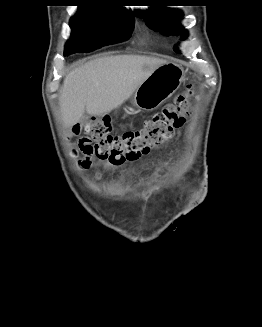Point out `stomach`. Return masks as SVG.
Masks as SVG:
<instances>
[{"label": "stomach", "mask_w": 262, "mask_h": 327, "mask_svg": "<svg viewBox=\"0 0 262 327\" xmlns=\"http://www.w3.org/2000/svg\"><path fill=\"white\" fill-rule=\"evenodd\" d=\"M183 79L184 70L180 65L162 64L135 90L132 104L138 109L152 111L175 93Z\"/></svg>", "instance_id": "1"}]
</instances>
